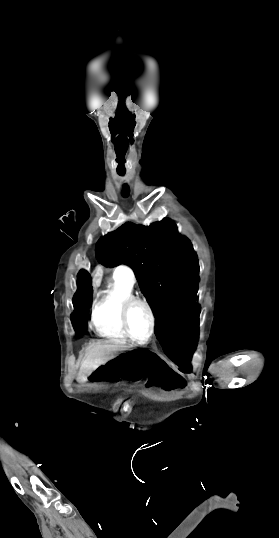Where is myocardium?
<instances>
[{"label":"myocardium","instance_id":"obj_1","mask_svg":"<svg viewBox=\"0 0 279 538\" xmlns=\"http://www.w3.org/2000/svg\"><path fill=\"white\" fill-rule=\"evenodd\" d=\"M95 230L96 229H93L92 231H95ZM135 305L143 306L146 309L150 318V332H149L148 337L143 341H140L133 336L130 330V326H129V312H130V309ZM120 322L127 337L132 342L138 345H145L149 343L151 339L153 338L156 331V316H155V313L151 304L146 299H143L137 296L129 297L122 304L121 309H120Z\"/></svg>","mask_w":279,"mask_h":538}]
</instances>
